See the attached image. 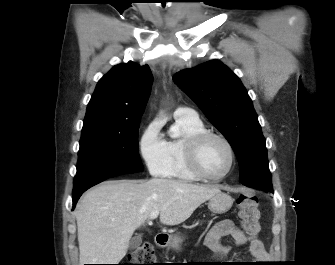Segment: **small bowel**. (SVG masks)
Here are the masks:
<instances>
[{
    "label": "small bowel",
    "mask_w": 335,
    "mask_h": 265,
    "mask_svg": "<svg viewBox=\"0 0 335 265\" xmlns=\"http://www.w3.org/2000/svg\"><path fill=\"white\" fill-rule=\"evenodd\" d=\"M231 236L235 246L249 243V251L256 261L266 260V251L262 241L256 234H245L231 220H223L212 227L205 238V245L215 252L217 258H224L231 246L222 242L223 237Z\"/></svg>",
    "instance_id": "1"
}]
</instances>
